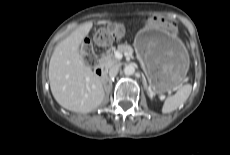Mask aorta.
<instances>
[{
  "label": "aorta",
  "mask_w": 230,
  "mask_h": 155,
  "mask_svg": "<svg viewBox=\"0 0 230 155\" xmlns=\"http://www.w3.org/2000/svg\"><path fill=\"white\" fill-rule=\"evenodd\" d=\"M125 75H133L135 73V66L134 64H128L124 67Z\"/></svg>",
  "instance_id": "aorta-1"
}]
</instances>
